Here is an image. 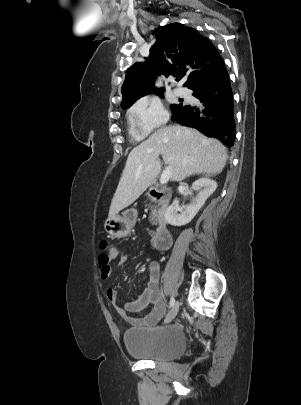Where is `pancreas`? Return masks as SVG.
Listing matches in <instances>:
<instances>
[{
    "label": "pancreas",
    "mask_w": 301,
    "mask_h": 405,
    "mask_svg": "<svg viewBox=\"0 0 301 405\" xmlns=\"http://www.w3.org/2000/svg\"><path fill=\"white\" fill-rule=\"evenodd\" d=\"M156 217H157V210L156 208L152 209V212L150 214V221L152 224L156 222Z\"/></svg>",
    "instance_id": "pancreas-1"
}]
</instances>
